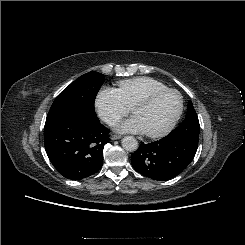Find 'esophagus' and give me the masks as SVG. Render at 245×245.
<instances>
[{"label":"esophagus","mask_w":245,"mask_h":245,"mask_svg":"<svg viewBox=\"0 0 245 245\" xmlns=\"http://www.w3.org/2000/svg\"><path fill=\"white\" fill-rule=\"evenodd\" d=\"M122 137L120 135H112L111 140H118L121 139Z\"/></svg>","instance_id":"1"}]
</instances>
